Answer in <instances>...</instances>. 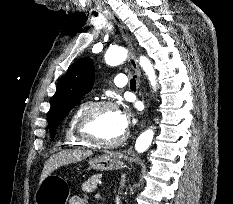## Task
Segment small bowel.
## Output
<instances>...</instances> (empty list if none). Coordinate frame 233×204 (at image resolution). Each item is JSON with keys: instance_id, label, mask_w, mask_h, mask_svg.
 <instances>
[{"instance_id": "c3829d8e", "label": "small bowel", "mask_w": 233, "mask_h": 204, "mask_svg": "<svg viewBox=\"0 0 233 204\" xmlns=\"http://www.w3.org/2000/svg\"><path fill=\"white\" fill-rule=\"evenodd\" d=\"M69 204H84V198L82 196H73Z\"/></svg>"}]
</instances>
